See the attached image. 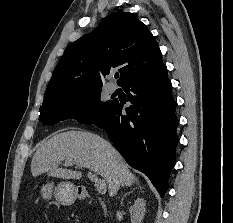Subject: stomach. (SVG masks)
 I'll list each match as a JSON object with an SVG mask.
<instances>
[{"label": "stomach", "mask_w": 233, "mask_h": 223, "mask_svg": "<svg viewBox=\"0 0 233 223\" xmlns=\"http://www.w3.org/2000/svg\"><path fill=\"white\" fill-rule=\"evenodd\" d=\"M39 193L42 199H53L55 197L61 205H73L79 197L78 187L72 181H48L39 187Z\"/></svg>", "instance_id": "0dacf381"}]
</instances>
